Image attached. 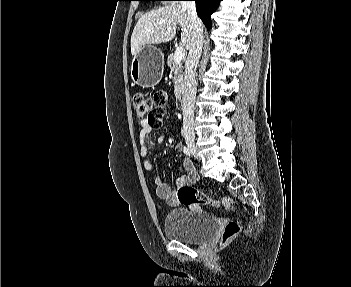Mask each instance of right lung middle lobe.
<instances>
[{
    "mask_svg": "<svg viewBox=\"0 0 351 287\" xmlns=\"http://www.w3.org/2000/svg\"><path fill=\"white\" fill-rule=\"evenodd\" d=\"M138 1H161V0H138Z\"/></svg>",
    "mask_w": 351,
    "mask_h": 287,
    "instance_id": "dd1d6c3e",
    "label": "right lung middle lobe"
}]
</instances>
